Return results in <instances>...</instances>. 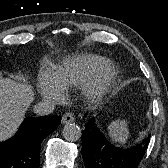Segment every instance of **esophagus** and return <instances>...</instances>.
<instances>
[{
	"label": "esophagus",
	"instance_id": "obj_1",
	"mask_svg": "<svg viewBox=\"0 0 168 168\" xmlns=\"http://www.w3.org/2000/svg\"><path fill=\"white\" fill-rule=\"evenodd\" d=\"M74 121V116L72 113L67 112L62 116V123L63 124H69Z\"/></svg>",
	"mask_w": 168,
	"mask_h": 168
}]
</instances>
